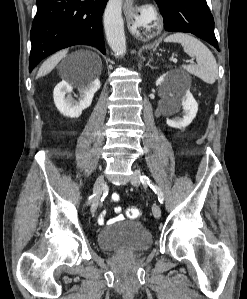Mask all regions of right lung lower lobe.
Returning a JSON list of instances; mask_svg holds the SVG:
<instances>
[{
    "mask_svg": "<svg viewBox=\"0 0 247 299\" xmlns=\"http://www.w3.org/2000/svg\"><path fill=\"white\" fill-rule=\"evenodd\" d=\"M108 0H37L29 71L48 55L73 45H90L105 54L102 14Z\"/></svg>",
    "mask_w": 247,
    "mask_h": 299,
    "instance_id": "obj_1",
    "label": "right lung lower lobe"
}]
</instances>
